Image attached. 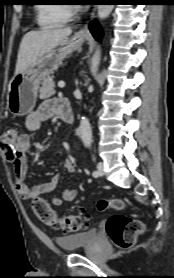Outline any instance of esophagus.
I'll return each mask as SVG.
<instances>
[{
    "mask_svg": "<svg viewBox=\"0 0 174 278\" xmlns=\"http://www.w3.org/2000/svg\"><path fill=\"white\" fill-rule=\"evenodd\" d=\"M95 14V8L90 13L89 18L92 19ZM88 33V24H85L77 33V36H85Z\"/></svg>",
    "mask_w": 174,
    "mask_h": 278,
    "instance_id": "obj_1",
    "label": "esophagus"
}]
</instances>
